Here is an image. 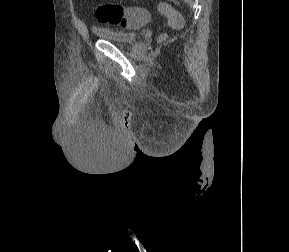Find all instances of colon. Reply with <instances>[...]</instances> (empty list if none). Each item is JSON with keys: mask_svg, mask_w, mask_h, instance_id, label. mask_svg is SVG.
I'll return each mask as SVG.
<instances>
[{"mask_svg": "<svg viewBox=\"0 0 289 252\" xmlns=\"http://www.w3.org/2000/svg\"><path fill=\"white\" fill-rule=\"evenodd\" d=\"M158 9L162 15L169 19L172 27L182 26V16L169 4L160 3ZM95 13L99 22L122 28H134L139 26L141 23H147L150 19V13L145 8H128L119 4L111 3L98 5Z\"/></svg>", "mask_w": 289, "mask_h": 252, "instance_id": "colon-1", "label": "colon"}]
</instances>
